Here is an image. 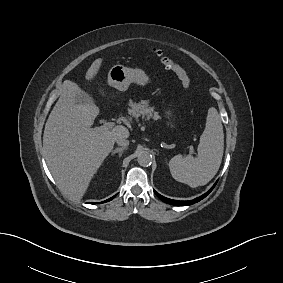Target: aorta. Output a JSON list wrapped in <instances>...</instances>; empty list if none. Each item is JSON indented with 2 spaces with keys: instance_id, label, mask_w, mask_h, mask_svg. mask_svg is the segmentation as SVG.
<instances>
[{
  "instance_id": "aorta-1",
  "label": "aorta",
  "mask_w": 283,
  "mask_h": 283,
  "mask_svg": "<svg viewBox=\"0 0 283 283\" xmlns=\"http://www.w3.org/2000/svg\"><path fill=\"white\" fill-rule=\"evenodd\" d=\"M137 161L141 166H149L152 162V155L147 151H143L138 155Z\"/></svg>"
}]
</instances>
